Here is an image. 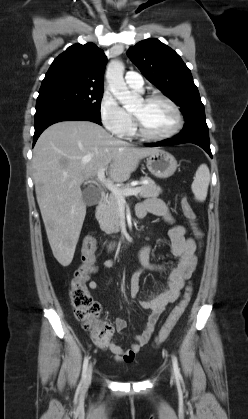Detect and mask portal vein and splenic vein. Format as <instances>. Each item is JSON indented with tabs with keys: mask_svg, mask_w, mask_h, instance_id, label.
<instances>
[{
	"mask_svg": "<svg viewBox=\"0 0 248 419\" xmlns=\"http://www.w3.org/2000/svg\"><path fill=\"white\" fill-rule=\"evenodd\" d=\"M98 181L102 183L108 190H110L120 202H124L125 196L137 195L140 192V188H132L121 190L119 187L115 186L114 183L105 177V169H100L97 173Z\"/></svg>",
	"mask_w": 248,
	"mask_h": 419,
	"instance_id": "portal-vein-and-splenic-vein-1",
	"label": "portal vein and splenic vein"
}]
</instances>
